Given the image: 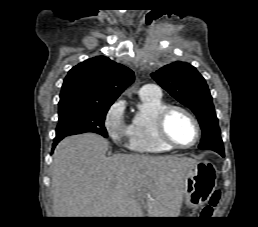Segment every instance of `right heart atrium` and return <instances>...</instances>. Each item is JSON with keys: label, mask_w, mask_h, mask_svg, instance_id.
Instances as JSON below:
<instances>
[{"label": "right heart atrium", "mask_w": 258, "mask_h": 227, "mask_svg": "<svg viewBox=\"0 0 258 227\" xmlns=\"http://www.w3.org/2000/svg\"><path fill=\"white\" fill-rule=\"evenodd\" d=\"M124 109V102L116 101L111 105L104 119L106 131L115 141L121 140L128 134V126L124 121Z\"/></svg>", "instance_id": "obj_1"}]
</instances>
